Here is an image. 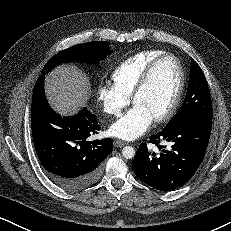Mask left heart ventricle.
<instances>
[{
	"instance_id": "obj_1",
	"label": "left heart ventricle",
	"mask_w": 231,
	"mask_h": 231,
	"mask_svg": "<svg viewBox=\"0 0 231 231\" xmlns=\"http://www.w3.org/2000/svg\"><path fill=\"white\" fill-rule=\"evenodd\" d=\"M179 82V70L173 59L162 60L155 67L145 89L134 105L147 110L154 119L170 106Z\"/></svg>"
}]
</instances>
